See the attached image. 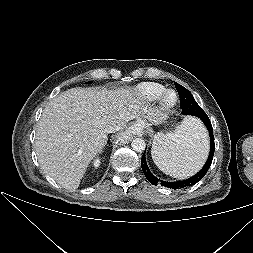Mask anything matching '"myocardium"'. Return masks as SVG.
<instances>
[{
    "label": "myocardium",
    "instance_id": "obj_1",
    "mask_svg": "<svg viewBox=\"0 0 253 253\" xmlns=\"http://www.w3.org/2000/svg\"><path fill=\"white\" fill-rule=\"evenodd\" d=\"M170 96H173L170 98ZM178 94L175 90L169 89L165 90L163 94L160 96V101L162 108L164 110H170L174 108L178 103Z\"/></svg>",
    "mask_w": 253,
    "mask_h": 253
}]
</instances>
